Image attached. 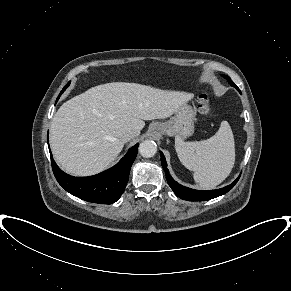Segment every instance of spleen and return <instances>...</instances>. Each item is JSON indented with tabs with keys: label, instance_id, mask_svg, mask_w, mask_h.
Wrapping results in <instances>:
<instances>
[{
	"label": "spleen",
	"instance_id": "3e777b00",
	"mask_svg": "<svg viewBox=\"0 0 291 291\" xmlns=\"http://www.w3.org/2000/svg\"><path fill=\"white\" fill-rule=\"evenodd\" d=\"M175 149L180 162L194 172V180L204 189L223 182L235 162V142L227 121L221 122L216 134L199 142H184L175 138Z\"/></svg>",
	"mask_w": 291,
	"mask_h": 291
}]
</instances>
